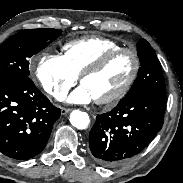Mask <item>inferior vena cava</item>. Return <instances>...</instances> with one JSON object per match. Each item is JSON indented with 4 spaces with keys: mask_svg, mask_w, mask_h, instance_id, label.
<instances>
[{
    "mask_svg": "<svg viewBox=\"0 0 183 183\" xmlns=\"http://www.w3.org/2000/svg\"><path fill=\"white\" fill-rule=\"evenodd\" d=\"M65 99V96L63 95V96H60V98H59V100H64Z\"/></svg>",
    "mask_w": 183,
    "mask_h": 183,
    "instance_id": "obj_1",
    "label": "inferior vena cava"
}]
</instances>
